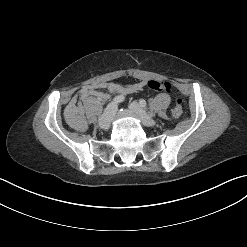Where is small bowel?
Masks as SVG:
<instances>
[{
    "label": "small bowel",
    "instance_id": "c3829d8e",
    "mask_svg": "<svg viewBox=\"0 0 247 247\" xmlns=\"http://www.w3.org/2000/svg\"><path fill=\"white\" fill-rule=\"evenodd\" d=\"M145 85V82H139L128 86L102 82L83 86L79 90L78 94L70 100L66 107V121L73 129L83 132L88 127L87 120L84 115L85 110L82 105L83 102L89 101L93 96H96L100 99L107 98V93L104 92V90L107 92L129 93L141 90L145 87Z\"/></svg>",
    "mask_w": 247,
    "mask_h": 247
}]
</instances>
